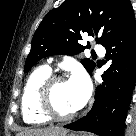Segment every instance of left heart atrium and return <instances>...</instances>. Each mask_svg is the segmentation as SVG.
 Returning <instances> with one entry per match:
<instances>
[{
  "mask_svg": "<svg viewBox=\"0 0 136 136\" xmlns=\"http://www.w3.org/2000/svg\"><path fill=\"white\" fill-rule=\"evenodd\" d=\"M72 100L77 109L81 108L89 98L91 85L86 74L81 71H75L68 80Z\"/></svg>",
  "mask_w": 136,
  "mask_h": 136,
  "instance_id": "39dd6f15",
  "label": "left heart atrium"
}]
</instances>
